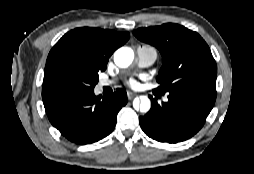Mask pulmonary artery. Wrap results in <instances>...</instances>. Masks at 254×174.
<instances>
[{"mask_svg": "<svg viewBox=\"0 0 254 174\" xmlns=\"http://www.w3.org/2000/svg\"><path fill=\"white\" fill-rule=\"evenodd\" d=\"M157 59V52L153 47L140 45L137 48V61L141 67L151 66ZM114 83L112 79H103L100 81V87L110 86ZM167 101V98H165Z\"/></svg>", "mask_w": 254, "mask_h": 174, "instance_id": "obj_1", "label": "pulmonary artery"}]
</instances>
